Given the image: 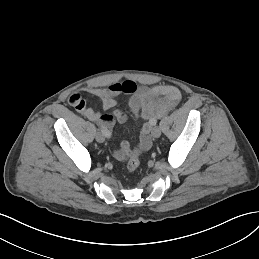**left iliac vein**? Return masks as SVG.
Returning <instances> with one entry per match:
<instances>
[{"mask_svg":"<svg viewBox=\"0 0 259 259\" xmlns=\"http://www.w3.org/2000/svg\"><path fill=\"white\" fill-rule=\"evenodd\" d=\"M161 135V129L159 127H154L152 130V136L155 138L160 137Z\"/></svg>","mask_w":259,"mask_h":259,"instance_id":"obj_1","label":"left iliac vein"}]
</instances>
